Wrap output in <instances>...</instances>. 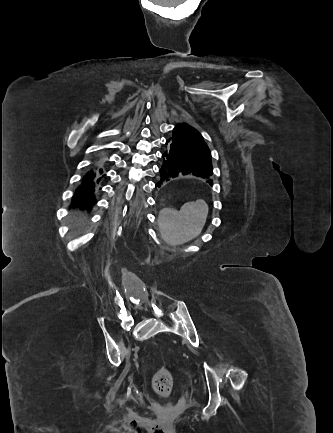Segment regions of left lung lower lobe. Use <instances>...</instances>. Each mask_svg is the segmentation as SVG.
I'll return each mask as SVG.
<instances>
[{
	"label": "left lung lower lobe",
	"instance_id": "0a47b994",
	"mask_svg": "<svg viewBox=\"0 0 333 433\" xmlns=\"http://www.w3.org/2000/svg\"><path fill=\"white\" fill-rule=\"evenodd\" d=\"M213 174L212 163L199 157L186 147L175 141H166V149L162 154L160 180L156 183L161 187L172 179L190 175L209 178ZM209 183L212 185V181Z\"/></svg>",
	"mask_w": 333,
	"mask_h": 433
}]
</instances>
